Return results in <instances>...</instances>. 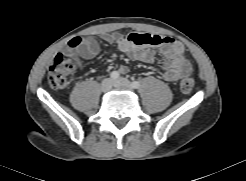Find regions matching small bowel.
Segmentation results:
<instances>
[{
    "mask_svg": "<svg viewBox=\"0 0 246 181\" xmlns=\"http://www.w3.org/2000/svg\"><path fill=\"white\" fill-rule=\"evenodd\" d=\"M142 35L144 34L111 33L103 35L102 39L107 43L116 44L120 51L130 55L133 59L149 63L160 61L162 63L161 76L167 82L177 81L180 77L191 73V63L185 57L184 46L180 41L171 37H161L162 42L158 45H145L138 42ZM68 52L89 60L98 55L100 44L94 38H87L77 46L76 50L70 48ZM118 71L125 74L128 68L122 65Z\"/></svg>",
    "mask_w": 246,
    "mask_h": 181,
    "instance_id": "small-bowel-1",
    "label": "small bowel"
}]
</instances>
